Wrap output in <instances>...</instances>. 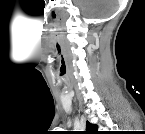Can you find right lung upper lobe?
Masks as SVG:
<instances>
[{
    "label": "right lung upper lobe",
    "instance_id": "right-lung-upper-lobe-1",
    "mask_svg": "<svg viewBox=\"0 0 145 134\" xmlns=\"http://www.w3.org/2000/svg\"><path fill=\"white\" fill-rule=\"evenodd\" d=\"M86 134H97V125L91 124L90 122L87 121L86 123Z\"/></svg>",
    "mask_w": 145,
    "mask_h": 134
}]
</instances>
